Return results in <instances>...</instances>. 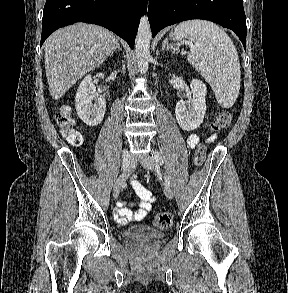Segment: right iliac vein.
<instances>
[{
  "label": "right iliac vein",
  "mask_w": 288,
  "mask_h": 293,
  "mask_svg": "<svg viewBox=\"0 0 288 293\" xmlns=\"http://www.w3.org/2000/svg\"><path fill=\"white\" fill-rule=\"evenodd\" d=\"M127 156H129V160H130V167L129 170H122V174L117 178L114 186H113V196L114 198H118L119 194H120V190L126 180V178L128 177V175L130 174V172L132 171L133 165H134V158L131 156V154L127 151Z\"/></svg>",
  "instance_id": "1"
}]
</instances>
